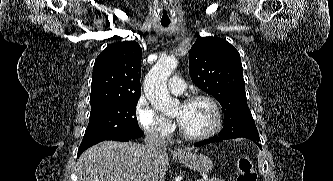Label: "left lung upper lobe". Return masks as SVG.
Returning a JSON list of instances; mask_svg holds the SVG:
<instances>
[{
  "label": "left lung upper lobe",
  "mask_w": 333,
  "mask_h": 181,
  "mask_svg": "<svg viewBox=\"0 0 333 181\" xmlns=\"http://www.w3.org/2000/svg\"><path fill=\"white\" fill-rule=\"evenodd\" d=\"M189 73L196 86L215 97L224 109L230 134L260 142L246 101L239 52L226 40L198 37L189 53Z\"/></svg>",
  "instance_id": "1"
}]
</instances>
